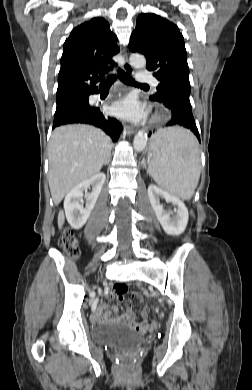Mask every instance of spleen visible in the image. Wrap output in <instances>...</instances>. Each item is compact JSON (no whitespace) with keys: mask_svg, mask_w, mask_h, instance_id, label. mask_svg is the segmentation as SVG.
I'll list each match as a JSON object with an SVG mask.
<instances>
[{"mask_svg":"<svg viewBox=\"0 0 252 390\" xmlns=\"http://www.w3.org/2000/svg\"><path fill=\"white\" fill-rule=\"evenodd\" d=\"M148 172L167 192L189 200L200 178V152L195 136L183 128L161 129L150 145Z\"/></svg>","mask_w":252,"mask_h":390,"instance_id":"spleen-1","label":"spleen"}]
</instances>
